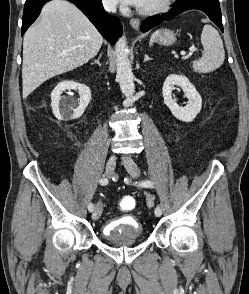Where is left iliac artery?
Segmentation results:
<instances>
[{
	"mask_svg": "<svg viewBox=\"0 0 249 294\" xmlns=\"http://www.w3.org/2000/svg\"><path fill=\"white\" fill-rule=\"evenodd\" d=\"M125 180H128V179H125ZM140 186L142 187H146V188H153V183L150 181V180H145V181H142L141 183H139ZM162 214V209L161 207L158 205L156 208H155V216L156 217H160Z\"/></svg>",
	"mask_w": 249,
	"mask_h": 294,
	"instance_id": "obj_1",
	"label": "left iliac artery"
}]
</instances>
